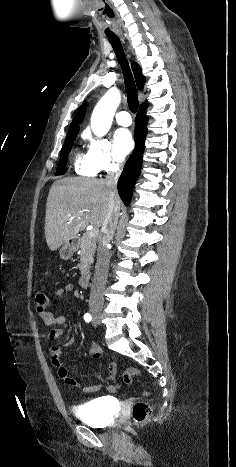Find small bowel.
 <instances>
[{"label": "small bowel", "mask_w": 236, "mask_h": 467, "mask_svg": "<svg viewBox=\"0 0 236 467\" xmlns=\"http://www.w3.org/2000/svg\"><path fill=\"white\" fill-rule=\"evenodd\" d=\"M74 291V285L71 283L66 284L64 287L58 289L56 291V296L60 300H65V295L67 293H72ZM40 319L43 324L49 328L47 339L49 342H54L58 338H60L64 333V328L66 326V316L64 314H51V313H40ZM75 339L74 337L69 338L65 342V347H69L73 345ZM89 354L92 356L100 357L101 356V349L94 345L91 347ZM49 355L52 364L57 368L58 376L64 380L67 384L72 385L74 387H80V383L74 377H72L69 373V370L66 366L63 365L61 361V351L58 347L51 346L49 350ZM108 370L110 377H114L117 372V365L114 361L108 360ZM100 384H94L90 386H86L83 388V392L85 393H95L100 390ZM118 389L117 384H111L108 386V391L111 393L116 392Z\"/></svg>", "instance_id": "small-bowel-1"}]
</instances>
